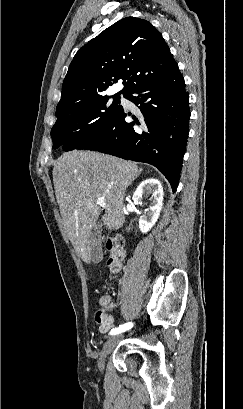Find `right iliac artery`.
Listing matches in <instances>:
<instances>
[{"label":"right iliac artery","instance_id":"82829eb1","mask_svg":"<svg viewBox=\"0 0 243 409\" xmlns=\"http://www.w3.org/2000/svg\"><path fill=\"white\" fill-rule=\"evenodd\" d=\"M133 327V323H131V322H129V323H125V324H123V325H120L119 327H117V328H113L111 331H110V335H116V334H119V333H121V332H125V331H127V330H129V329H131Z\"/></svg>","mask_w":243,"mask_h":409}]
</instances>
